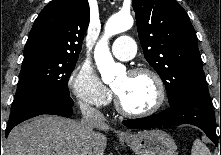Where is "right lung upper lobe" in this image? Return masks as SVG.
<instances>
[{
  "instance_id": "obj_1",
  "label": "right lung upper lobe",
  "mask_w": 221,
  "mask_h": 155,
  "mask_svg": "<svg viewBox=\"0 0 221 155\" xmlns=\"http://www.w3.org/2000/svg\"><path fill=\"white\" fill-rule=\"evenodd\" d=\"M88 0H53L36 18L24 57L46 55L77 60L89 25Z\"/></svg>"
}]
</instances>
